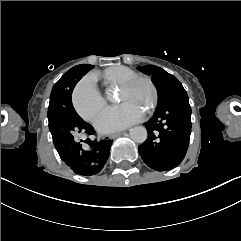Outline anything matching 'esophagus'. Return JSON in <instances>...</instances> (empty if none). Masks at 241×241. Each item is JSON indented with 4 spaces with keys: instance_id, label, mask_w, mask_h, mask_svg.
Segmentation results:
<instances>
[{
    "instance_id": "esophagus-1",
    "label": "esophagus",
    "mask_w": 241,
    "mask_h": 241,
    "mask_svg": "<svg viewBox=\"0 0 241 241\" xmlns=\"http://www.w3.org/2000/svg\"><path fill=\"white\" fill-rule=\"evenodd\" d=\"M122 134H123V132L113 133V134L109 135V138L114 139V138L121 136Z\"/></svg>"
}]
</instances>
